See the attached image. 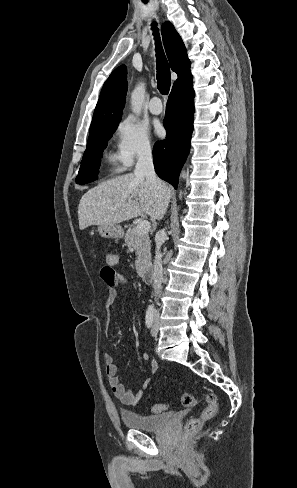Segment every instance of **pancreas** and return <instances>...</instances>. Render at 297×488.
<instances>
[{"label": "pancreas", "instance_id": "pancreas-1", "mask_svg": "<svg viewBox=\"0 0 297 488\" xmlns=\"http://www.w3.org/2000/svg\"><path fill=\"white\" fill-rule=\"evenodd\" d=\"M125 243L129 249L137 250L136 270L147 266L151 260L150 237L148 234H139L135 226H130L125 234Z\"/></svg>", "mask_w": 297, "mask_h": 488}]
</instances>
